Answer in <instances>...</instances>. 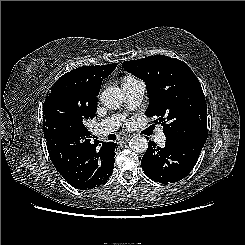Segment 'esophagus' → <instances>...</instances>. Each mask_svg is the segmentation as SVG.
Returning a JSON list of instances; mask_svg holds the SVG:
<instances>
[{"label": "esophagus", "mask_w": 245, "mask_h": 245, "mask_svg": "<svg viewBox=\"0 0 245 245\" xmlns=\"http://www.w3.org/2000/svg\"><path fill=\"white\" fill-rule=\"evenodd\" d=\"M132 138V135H123L120 137V141L123 143L128 142Z\"/></svg>", "instance_id": "esophagus-1"}]
</instances>
